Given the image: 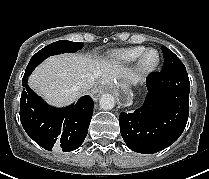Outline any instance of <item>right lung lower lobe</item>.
Returning a JSON list of instances; mask_svg holds the SVG:
<instances>
[{
  "mask_svg": "<svg viewBox=\"0 0 209 179\" xmlns=\"http://www.w3.org/2000/svg\"><path fill=\"white\" fill-rule=\"evenodd\" d=\"M28 77L23 76L20 99V120L26 133L49 151L55 147H61L63 152L79 148L92 118V98L83 96L66 108L51 107L29 88Z\"/></svg>",
  "mask_w": 209,
  "mask_h": 179,
  "instance_id": "98d812e1",
  "label": "right lung lower lobe"
}]
</instances>
